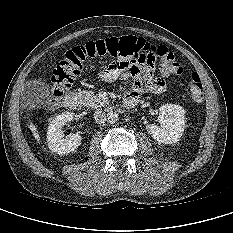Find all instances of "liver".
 Returning <instances> with one entry per match:
<instances>
[{
    "label": "liver",
    "instance_id": "obj_1",
    "mask_svg": "<svg viewBox=\"0 0 233 233\" xmlns=\"http://www.w3.org/2000/svg\"><path fill=\"white\" fill-rule=\"evenodd\" d=\"M29 129L31 130L34 138L39 141L40 140V136H39V133L37 131V127L30 121L29 122Z\"/></svg>",
    "mask_w": 233,
    "mask_h": 233
}]
</instances>
